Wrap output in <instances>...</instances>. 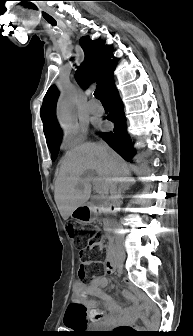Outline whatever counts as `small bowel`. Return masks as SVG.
Masks as SVG:
<instances>
[{
	"label": "small bowel",
	"mask_w": 193,
	"mask_h": 336,
	"mask_svg": "<svg viewBox=\"0 0 193 336\" xmlns=\"http://www.w3.org/2000/svg\"><path fill=\"white\" fill-rule=\"evenodd\" d=\"M115 268L107 261L105 263V272L107 275L113 274ZM108 285V279L104 275L94 277L90 282L76 280L72 288V296L76 303L72 305L69 318L66 325H83L85 322L97 323L102 321L103 326H109L115 323H127L131 320V310L123 308L119 303L110 298L104 292ZM128 299H134L135 296L129 291L124 292ZM90 297H96L92 299Z\"/></svg>",
	"instance_id": "1"
}]
</instances>
